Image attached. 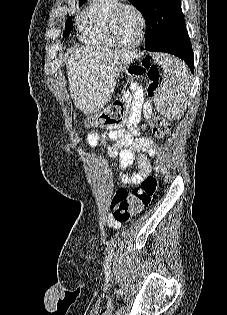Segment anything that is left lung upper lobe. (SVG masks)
I'll use <instances>...</instances> for the list:
<instances>
[{
  "label": "left lung upper lobe",
  "mask_w": 227,
  "mask_h": 315,
  "mask_svg": "<svg viewBox=\"0 0 227 315\" xmlns=\"http://www.w3.org/2000/svg\"><path fill=\"white\" fill-rule=\"evenodd\" d=\"M146 20L145 45H156L185 28L181 0H130Z\"/></svg>",
  "instance_id": "5c2ea615"
}]
</instances>
